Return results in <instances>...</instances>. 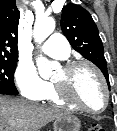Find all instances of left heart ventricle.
I'll return each mask as SVG.
<instances>
[{"instance_id":"b2bd125f","label":"left heart ventricle","mask_w":117,"mask_h":131,"mask_svg":"<svg viewBox=\"0 0 117 131\" xmlns=\"http://www.w3.org/2000/svg\"><path fill=\"white\" fill-rule=\"evenodd\" d=\"M53 80H67L71 94L87 108L99 110L103 106L102 86L98 77L88 67H79L69 75L60 68Z\"/></svg>"}]
</instances>
